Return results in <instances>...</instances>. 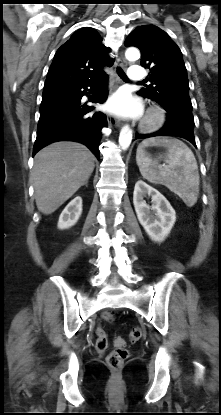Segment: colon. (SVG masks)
Masks as SVG:
<instances>
[{
    "label": "colon",
    "mask_w": 221,
    "mask_h": 415,
    "mask_svg": "<svg viewBox=\"0 0 221 415\" xmlns=\"http://www.w3.org/2000/svg\"><path fill=\"white\" fill-rule=\"evenodd\" d=\"M102 318L108 322H111L113 320V314L110 312H104L102 314ZM96 341H95V347L99 351H104L108 347V339L106 336L105 331L101 327H97L96 330ZM143 336V330L141 327H134L130 334L129 339L131 342L135 343L139 341ZM114 350L109 353L107 356V363L110 368L117 370L122 367L125 360L129 356V352L127 349V342L126 340L121 336H116L114 338Z\"/></svg>",
    "instance_id": "obj_1"
}]
</instances>
